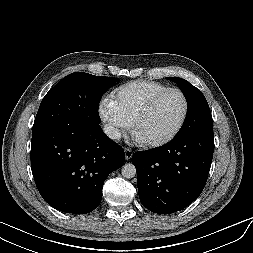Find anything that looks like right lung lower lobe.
<instances>
[{
    "label": "right lung lower lobe",
    "mask_w": 253,
    "mask_h": 253,
    "mask_svg": "<svg viewBox=\"0 0 253 253\" xmlns=\"http://www.w3.org/2000/svg\"><path fill=\"white\" fill-rule=\"evenodd\" d=\"M124 160V150L99 125L77 124L32 136L36 186L43 199L62 212L93 211L101 202L105 179Z\"/></svg>",
    "instance_id": "1"
}]
</instances>
